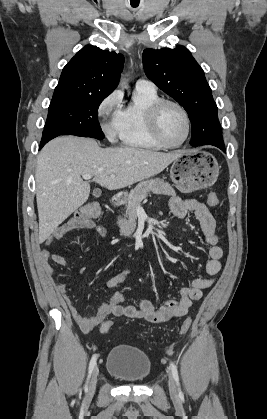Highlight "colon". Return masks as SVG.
<instances>
[{"label": "colon", "instance_id": "obj_1", "mask_svg": "<svg viewBox=\"0 0 267 419\" xmlns=\"http://www.w3.org/2000/svg\"><path fill=\"white\" fill-rule=\"evenodd\" d=\"M219 198L216 194H210L207 198V203L210 207H216L219 205ZM102 215V209L98 204L95 203H91V204H86L82 207H80L73 215V219L77 220V221H81V220H92V219H96L99 218ZM192 324V320L191 318H187L183 321L180 330H179V334L183 335L185 334L191 327ZM113 323L111 320H105L100 327V331L101 333L105 334L107 333L111 327H112Z\"/></svg>", "mask_w": 267, "mask_h": 419}]
</instances>
